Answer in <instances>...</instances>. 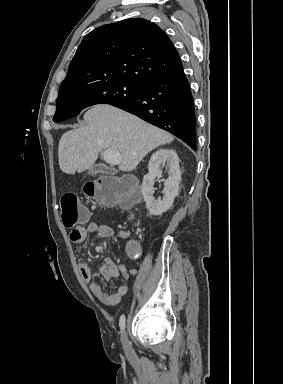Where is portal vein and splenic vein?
<instances>
[{"label":"portal vein and splenic vein","mask_w":283,"mask_h":384,"mask_svg":"<svg viewBox=\"0 0 283 384\" xmlns=\"http://www.w3.org/2000/svg\"><path fill=\"white\" fill-rule=\"evenodd\" d=\"M103 156L106 164H121L122 162V156L116 150H105Z\"/></svg>","instance_id":"18ae733b"}]
</instances>
